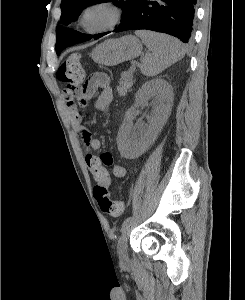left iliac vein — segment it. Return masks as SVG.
<instances>
[{
  "instance_id": "obj_1",
  "label": "left iliac vein",
  "mask_w": 245,
  "mask_h": 300,
  "mask_svg": "<svg viewBox=\"0 0 245 300\" xmlns=\"http://www.w3.org/2000/svg\"><path fill=\"white\" fill-rule=\"evenodd\" d=\"M131 231V224H128L123 232L122 235L119 238L118 241V246H117V251H118V256L121 262H127L128 261V247H127V242H128V237Z\"/></svg>"
}]
</instances>
